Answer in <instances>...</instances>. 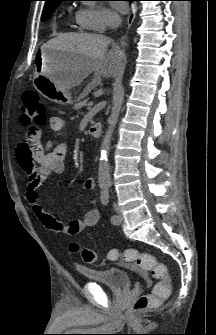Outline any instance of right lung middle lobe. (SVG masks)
Returning a JSON list of instances; mask_svg holds the SVG:
<instances>
[{
    "label": "right lung middle lobe",
    "instance_id": "1",
    "mask_svg": "<svg viewBox=\"0 0 216 335\" xmlns=\"http://www.w3.org/2000/svg\"><path fill=\"white\" fill-rule=\"evenodd\" d=\"M60 3L58 4H53V5H47L44 7L43 13H42V18L41 20L44 21L47 18L50 17V15L52 14V12L58 7Z\"/></svg>",
    "mask_w": 216,
    "mask_h": 335
}]
</instances>
